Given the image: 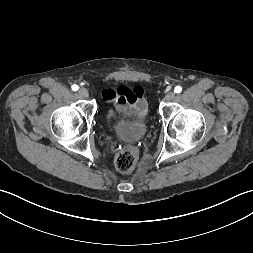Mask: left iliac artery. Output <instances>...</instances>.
Listing matches in <instances>:
<instances>
[{
    "label": "left iliac artery",
    "mask_w": 253,
    "mask_h": 253,
    "mask_svg": "<svg viewBox=\"0 0 253 253\" xmlns=\"http://www.w3.org/2000/svg\"><path fill=\"white\" fill-rule=\"evenodd\" d=\"M181 91H182L181 86H176L175 89H174L175 93H180Z\"/></svg>",
    "instance_id": "1"
}]
</instances>
